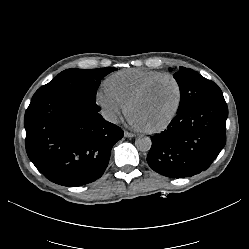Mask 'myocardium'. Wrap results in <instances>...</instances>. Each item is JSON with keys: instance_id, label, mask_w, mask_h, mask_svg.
I'll return each instance as SVG.
<instances>
[{"instance_id": "1", "label": "myocardium", "mask_w": 249, "mask_h": 249, "mask_svg": "<svg viewBox=\"0 0 249 249\" xmlns=\"http://www.w3.org/2000/svg\"><path fill=\"white\" fill-rule=\"evenodd\" d=\"M163 78H169L175 83L177 90H178V101H177L175 110L164 122H162L156 127L145 129V132L149 134L159 133V132L166 130L179 115V112L181 110L182 103H183V97H184L183 88H182L180 81L175 75L171 73H162L157 76H154L153 78L145 82L128 102V108L131 109L133 104L137 102L140 98H142L148 92V90L153 86L154 83H156L158 80L163 79Z\"/></svg>"}]
</instances>
